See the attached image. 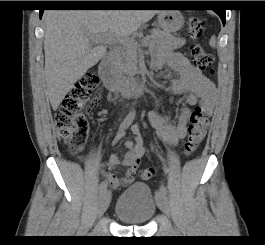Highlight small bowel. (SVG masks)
I'll return each instance as SVG.
<instances>
[{
  "mask_svg": "<svg viewBox=\"0 0 265 245\" xmlns=\"http://www.w3.org/2000/svg\"><path fill=\"white\" fill-rule=\"evenodd\" d=\"M153 69L167 68L176 74L167 87L168 95L182 97V105L177 119V124H171V110L165 105V98L160 97L155 100L156 110L148 114L151 126L156 130L159 138L169 146H175L179 141L184 140L189 123L191 122V111L200 99L212 95L214 86L203 76L202 72L194 67L180 53H169L164 57L153 55L151 58ZM114 102L115 98L111 97ZM126 129H118L112 144H116L124 135ZM134 141L127 140L125 147L126 155L121 158L116 154L109 156L108 163L104 166H92L91 170H99L112 188H122L131 185L135 179L136 170L144 155L145 149L142 138L136 126L131 129ZM118 165L126 167L124 176H119L112 170Z\"/></svg>",
  "mask_w": 265,
  "mask_h": 245,
  "instance_id": "small-bowel-1",
  "label": "small bowel"
}]
</instances>
